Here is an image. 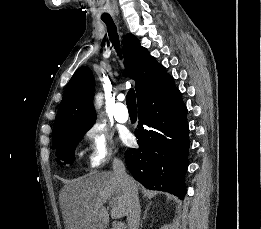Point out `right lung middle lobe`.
<instances>
[{
    "label": "right lung middle lobe",
    "instance_id": "right-lung-middle-lobe-1",
    "mask_svg": "<svg viewBox=\"0 0 261 229\" xmlns=\"http://www.w3.org/2000/svg\"><path fill=\"white\" fill-rule=\"evenodd\" d=\"M92 125L68 126L62 128L64 141L57 148V161L61 165L64 163H73L74 149L82 139L83 134L88 131Z\"/></svg>",
    "mask_w": 261,
    "mask_h": 229
}]
</instances>
